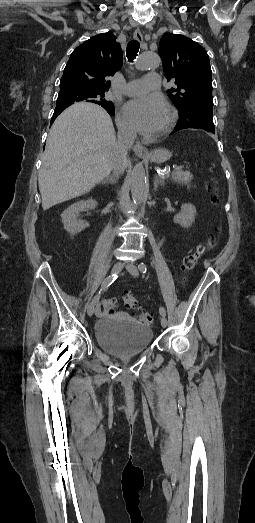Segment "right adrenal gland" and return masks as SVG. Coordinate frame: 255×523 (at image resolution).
Listing matches in <instances>:
<instances>
[{
    "label": "right adrenal gland",
    "instance_id": "obj_1",
    "mask_svg": "<svg viewBox=\"0 0 255 523\" xmlns=\"http://www.w3.org/2000/svg\"><path fill=\"white\" fill-rule=\"evenodd\" d=\"M104 184H106V182H109V184H115L116 182V178L115 176H108V178H106V180H103Z\"/></svg>",
    "mask_w": 255,
    "mask_h": 523
}]
</instances>
